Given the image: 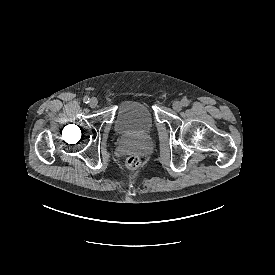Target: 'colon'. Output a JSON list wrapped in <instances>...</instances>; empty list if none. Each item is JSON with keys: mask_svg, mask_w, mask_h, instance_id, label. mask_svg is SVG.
Masks as SVG:
<instances>
[{"mask_svg": "<svg viewBox=\"0 0 275 275\" xmlns=\"http://www.w3.org/2000/svg\"><path fill=\"white\" fill-rule=\"evenodd\" d=\"M140 165V158L138 155H131L127 158L126 166L130 170L136 169Z\"/></svg>", "mask_w": 275, "mask_h": 275, "instance_id": "5ec220e1", "label": "colon"}]
</instances>
